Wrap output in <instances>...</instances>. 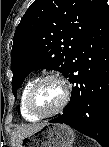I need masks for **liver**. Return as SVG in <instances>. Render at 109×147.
I'll use <instances>...</instances> for the list:
<instances>
[{
  "label": "liver",
  "mask_w": 109,
  "mask_h": 147,
  "mask_svg": "<svg viewBox=\"0 0 109 147\" xmlns=\"http://www.w3.org/2000/svg\"><path fill=\"white\" fill-rule=\"evenodd\" d=\"M43 126H45V124H31L27 126L17 127L12 134V141H13L14 147H19L24 137L41 129Z\"/></svg>",
  "instance_id": "6515ba94"
}]
</instances>
